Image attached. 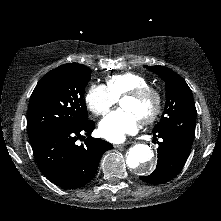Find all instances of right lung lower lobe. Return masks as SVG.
I'll use <instances>...</instances> for the list:
<instances>
[{"instance_id":"obj_1","label":"right lung lower lobe","mask_w":221,"mask_h":221,"mask_svg":"<svg viewBox=\"0 0 221 221\" xmlns=\"http://www.w3.org/2000/svg\"><path fill=\"white\" fill-rule=\"evenodd\" d=\"M95 128L92 120H84L77 126L42 134L31 140L34 157L40 171L51 182L66 189H76L87 184L96 174L104 152L113 145L91 137ZM87 139L80 146L78 139Z\"/></svg>"}]
</instances>
